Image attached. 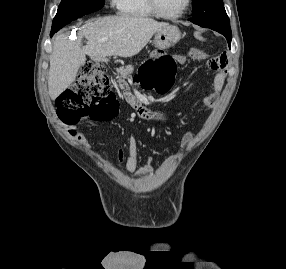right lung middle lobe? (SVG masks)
Wrapping results in <instances>:
<instances>
[{"label": "right lung middle lobe", "instance_id": "right-lung-middle-lobe-1", "mask_svg": "<svg viewBox=\"0 0 286 269\" xmlns=\"http://www.w3.org/2000/svg\"><path fill=\"white\" fill-rule=\"evenodd\" d=\"M104 0H62L51 30H60L71 21L97 11L103 7Z\"/></svg>", "mask_w": 286, "mask_h": 269}]
</instances>
